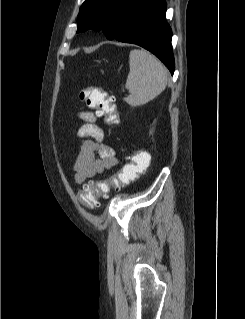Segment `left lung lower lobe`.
<instances>
[{
    "label": "left lung lower lobe",
    "instance_id": "left-lung-lower-lobe-1",
    "mask_svg": "<svg viewBox=\"0 0 245 319\" xmlns=\"http://www.w3.org/2000/svg\"><path fill=\"white\" fill-rule=\"evenodd\" d=\"M165 0H146L136 8L114 38L137 44L155 54L174 73L172 31L165 19Z\"/></svg>",
    "mask_w": 245,
    "mask_h": 319
}]
</instances>
